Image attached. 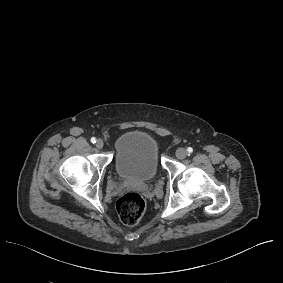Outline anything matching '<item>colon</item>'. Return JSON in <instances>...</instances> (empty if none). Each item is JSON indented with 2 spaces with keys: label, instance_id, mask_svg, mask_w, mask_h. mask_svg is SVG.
<instances>
[{
  "label": "colon",
  "instance_id": "5ec220e1",
  "mask_svg": "<svg viewBox=\"0 0 283 283\" xmlns=\"http://www.w3.org/2000/svg\"><path fill=\"white\" fill-rule=\"evenodd\" d=\"M116 208L119 218L124 224L134 225L144 215L146 202L140 194L129 192L117 199Z\"/></svg>",
  "mask_w": 283,
  "mask_h": 283
}]
</instances>
